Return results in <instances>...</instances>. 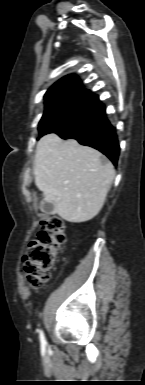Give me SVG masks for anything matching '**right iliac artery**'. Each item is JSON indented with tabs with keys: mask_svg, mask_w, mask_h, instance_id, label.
Segmentation results:
<instances>
[{
	"mask_svg": "<svg viewBox=\"0 0 145 385\" xmlns=\"http://www.w3.org/2000/svg\"><path fill=\"white\" fill-rule=\"evenodd\" d=\"M40 341H41L42 345L46 344V339H45V336H44L42 331H40Z\"/></svg>",
	"mask_w": 145,
	"mask_h": 385,
	"instance_id": "right-iliac-artery-1",
	"label": "right iliac artery"
}]
</instances>
